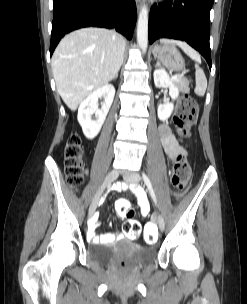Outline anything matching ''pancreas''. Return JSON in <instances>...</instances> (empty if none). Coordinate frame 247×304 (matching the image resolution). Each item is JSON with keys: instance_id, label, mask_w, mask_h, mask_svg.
<instances>
[{"instance_id": "cf45deb5", "label": "pancreas", "mask_w": 247, "mask_h": 304, "mask_svg": "<svg viewBox=\"0 0 247 304\" xmlns=\"http://www.w3.org/2000/svg\"><path fill=\"white\" fill-rule=\"evenodd\" d=\"M174 83L180 88L181 91L184 93H189L190 88H189V81L184 78H180L179 80H175Z\"/></svg>"}]
</instances>
